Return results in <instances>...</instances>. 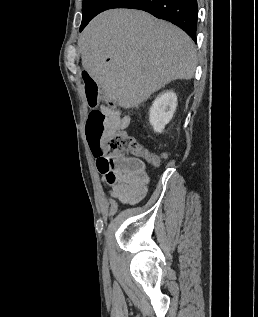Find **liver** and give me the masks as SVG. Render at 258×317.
Segmentation results:
<instances>
[{
	"label": "liver",
	"instance_id": "1",
	"mask_svg": "<svg viewBox=\"0 0 258 317\" xmlns=\"http://www.w3.org/2000/svg\"><path fill=\"white\" fill-rule=\"evenodd\" d=\"M79 44L82 64L104 100L123 108L139 106L170 80L192 78L196 68L192 38L144 10L101 12L84 28Z\"/></svg>",
	"mask_w": 258,
	"mask_h": 317
}]
</instances>
